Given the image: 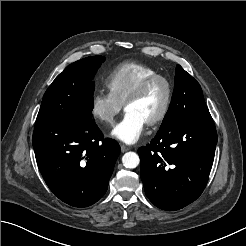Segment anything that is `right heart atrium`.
<instances>
[{
  "label": "right heart atrium",
  "instance_id": "obj_1",
  "mask_svg": "<svg viewBox=\"0 0 246 246\" xmlns=\"http://www.w3.org/2000/svg\"><path fill=\"white\" fill-rule=\"evenodd\" d=\"M122 104L109 92L98 91L93 94L90 104L92 117L105 125L114 124L116 116L120 113Z\"/></svg>",
  "mask_w": 246,
  "mask_h": 246
}]
</instances>
